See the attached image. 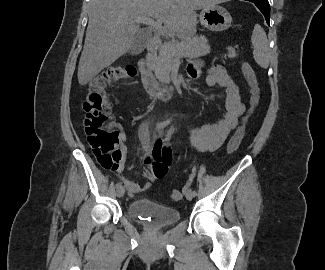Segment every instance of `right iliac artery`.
Wrapping results in <instances>:
<instances>
[{"label":"right iliac artery","instance_id":"right-iliac-artery-1","mask_svg":"<svg viewBox=\"0 0 325 270\" xmlns=\"http://www.w3.org/2000/svg\"><path fill=\"white\" fill-rule=\"evenodd\" d=\"M170 122H171V120H166V121L160 122V123L157 124L156 128L157 129H162V128L166 127L167 125H169ZM121 186H122L121 182L116 184L117 188H119Z\"/></svg>","mask_w":325,"mask_h":270}]
</instances>
